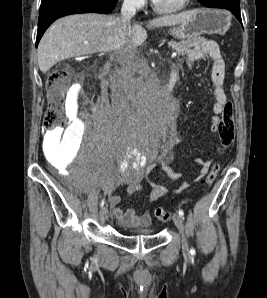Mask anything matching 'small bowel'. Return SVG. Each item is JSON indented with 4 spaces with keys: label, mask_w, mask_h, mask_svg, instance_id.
<instances>
[{
    "label": "small bowel",
    "mask_w": 267,
    "mask_h": 298,
    "mask_svg": "<svg viewBox=\"0 0 267 298\" xmlns=\"http://www.w3.org/2000/svg\"><path fill=\"white\" fill-rule=\"evenodd\" d=\"M209 59L212 62V69L210 75V85H211V94L214 98V104L212 107L213 115L210 118L211 121V131L214 133H218L221 116L230 103L227 100L226 94L223 89V82L225 77V62L222 58L219 46L217 43L213 41H203L198 44L188 55V65H193L194 63ZM64 136V131H57L53 135L51 139H58ZM196 163L200 165V175L198 178L203 177L209 168L210 161L204 160L201 158L196 159ZM155 165H151L147 168L146 173L148 174ZM164 170H168L165 166H163ZM142 175L136 173L134 175H121L118 176L103 186L104 193L108 196L109 203L112 206V213L114 217L117 219L118 223L122 227L126 228H139L146 229L150 227L152 223L151 214L148 211H143L138 213L134 208L122 209L117 207V205L122 201V197L119 195L113 194V191L117 186L127 184V188L125 190V196L129 197L136 192H142L143 189L141 187ZM151 191L145 194V198L149 203L156 202L158 199L166 196L170 190L160 184H156L151 180L147 179ZM189 186L188 182L183 183L178 189L173 190V193H180L185 190Z\"/></svg>",
    "instance_id": "c3829d8e"
}]
</instances>
